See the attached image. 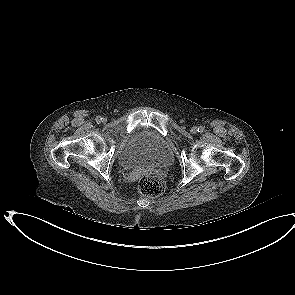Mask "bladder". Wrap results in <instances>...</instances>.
Segmentation results:
<instances>
[{
	"instance_id": "bladder-1",
	"label": "bladder",
	"mask_w": 295,
	"mask_h": 295,
	"mask_svg": "<svg viewBox=\"0 0 295 295\" xmlns=\"http://www.w3.org/2000/svg\"><path fill=\"white\" fill-rule=\"evenodd\" d=\"M174 162V152L168 142L152 131H141L132 136L119 154L124 168L137 166L169 167Z\"/></svg>"
}]
</instances>
